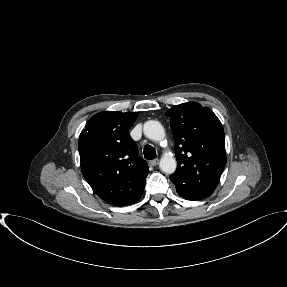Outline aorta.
I'll use <instances>...</instances> for the list:
<instances>
[{
  "label": "aorta",
  "mask_w": 287,
  "mask_h": 287,
  "mask_svg": "<svg viewBox=\"0 0 287 287\" xmlns=\"http://www.w3.org/2000/svg\"><path fill=\"white\" fill-rule=\"evenodd\" d=\"M144 135L153 141H162L165 137V131L160 122L148 120L143 126ZM159 167L166 174H172L177 167L176 159L172 154H164L160 160Z\"/></svg>",
  "instance_id": "1"
}]
</instances>
